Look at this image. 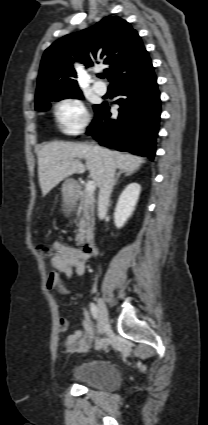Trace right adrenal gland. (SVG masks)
<instances>
[{"instance_id": "right-adrenal-gland-1", "label": "right adrenal gland", "mask_w": 208, "mask_h": 425, "mask_svg": "<svg viewBox=\"0 0 208 425\" xmlns=\"http://www.w3.org/2000/svg\"><path fill=\"white\" fill-rule=\"evenodd\" d=\"M133 173H134V172H133V171H130V170H120V171L117 173V176H116V178H115V183H114V185H117L118 180H119V178H120L121 174H124V175L127 177V176H131Z\"/></svg>"}]
</instances>
